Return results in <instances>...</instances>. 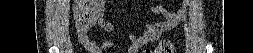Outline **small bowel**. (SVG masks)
<instances>
[{
	"instance_id": "c3829d8e",
	"label": "small bowel",
	"mask_w": 253,
	"mask_h": 53,
	"mask_svg": "<svg viewBox=\"0 0 253 53\" xmlns=\"http://www.w3.org/2000/svg\"><path fill=\"white\" fill-rule=\"evenodd\" d=\"M94 7V12L92 15L91 22L86 26L77 27L76 34L79 42L84 46V48L91 53H99L104 48L112 47L110 41H104L98 43L95 40L89 38L88 34L91 31L95 22H98L103 28L108 31L114 30V27L110 25L104 19V6L102 1L92 0ZM160 12L165 15L166 22L158 25L146 26V31L141 36H136L134 34L129 36V47L128 51L130 53H136L143 45L153 42L155 39L162 36L164 33L168 32L174 28L181 18L183 11L169 12L166 9H161Z\"/></svg>"
}]
</instances>
